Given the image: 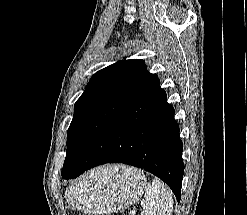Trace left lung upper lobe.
<instances>
[{
	"label": "left lung upper lobe",
	"mask_w": 247,
	"mask_h": 215,
	"mask_svg": "<svg viewBox=\"0 0 247 215\" xmlns=\"http://www.w3.org/2000/svg\"><path fill=\"white\" fill-rule=\"evenodd\" d=\"M153 77L139 59L121 60L94 74L75 103L63 168L84 142L105 135Z\"/></svg>",
	"instance_id": "left-lung-upper-lobe-1"
}]
</instances>
